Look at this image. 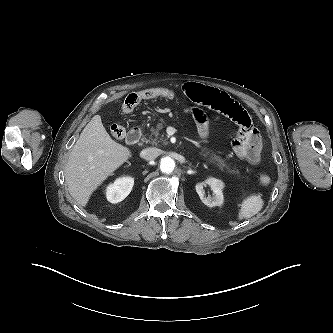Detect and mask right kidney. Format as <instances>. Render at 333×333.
I'll return each instance as SVG.
<instances>
[{
  "mask_svg": "<svg viewBox=\"0 0 333 333\" xmlns=\"http://www.w3.org/2000/svg\"><path fill=\"white\" fill-rule=\"evenodd\" d=\"M134 179L131 177H122L109 185L106 190L107 200L113 204L124 200L132 190Z\"/></svg>",
  "mask_w": 333,
  "mask_h": 333,
  "instance_id": "right-kidney-1",
  "label": "right kidney"
}]
</instances>
